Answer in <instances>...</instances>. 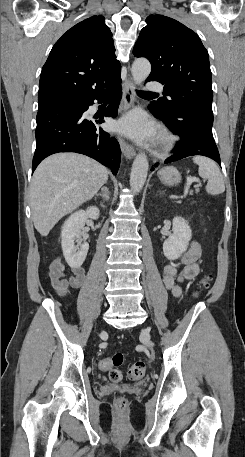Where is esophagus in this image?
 I'll list each match as a JSON object with an SVG mask.
<instances>
[{
	"instance_id": "obj_1",
	"label": "esophagus",
	"mask_w": 245,
	"mask_h": 457,
	"mask_svg": "<svg viewBox=\"0 0 245 457\" xmlns=\"http://www.w3.org/2000/svg\"><path fill=\"white\" fill-rule=\"evenodd\" d=\"M122 100V112L133 107L135 102V91L134 83L131 79H127L124 83ZM117 138L124 156L129 160L133 158L136 155L134 147L127 143L121 135H117Z\"/></svg>"
}]
</instances>
